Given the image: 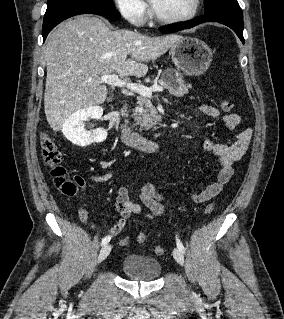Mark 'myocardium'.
<instances>
[{
  "label": "myocardium",
  "mask_w": 284,
  "mask_h": 319,
  "mask_svg": "<svg viewBox=\"0 0 284 319\" xmlns=\"http://www.w3.org/2000/svg\"><path fill=\"white\" fill-rule=\"evenodd\" d=\"M201 3H202V0H194L193 6L190 12L187 13L186 15L179 16V17L162 16L154 9L153 6L151 7L150 14H151V17L159 23H163V24L184 23V22L192 20L198 14L201 7Z\"/></svg>",
  "instance_id": "1"
}]
</instances>
